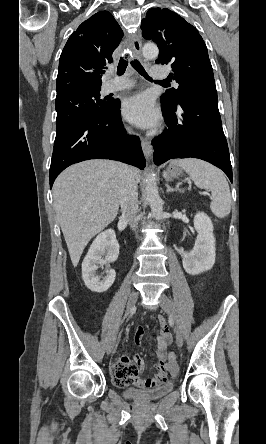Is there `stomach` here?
Masks as SVG:
<instances>
[{
	"label": "stomach",
	"mask_w": 266,
	"mask_h": 444,
	"mask_svg": "<svg viewBox=\"0 0 266 444\" xmlns=\"http://www.w3.org/2000/svg\"><path fill=\"white\" fill-rule=\"evenodd\" d=\"M182 174V169L177 165H170L164 172L163 176L167 179L177 178Z\"/></svg>",
	"instance_id": "stomach-1"
}]
</instances>
